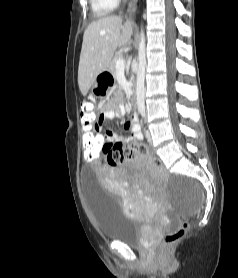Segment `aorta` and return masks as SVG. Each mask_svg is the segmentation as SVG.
Segmentation results:
<instances>
[{
    "instance_id": "obj_1",
    "label": "aorta",
    "mask_w": 238,
    "mask_h": 278,
    "mask_svg": "<svg viewBox=\"0 0 238 278\" xmlns=\"http://www.w3.org/2000/svg\"><path fill=\"white\" fill-rule=\"evenodd\" d=\"M146 41L143 29L140 32V42L138 48V70H137V83H136V98L138 111L145 112V69H146Z\"/></svg>"
}]
</instances>
